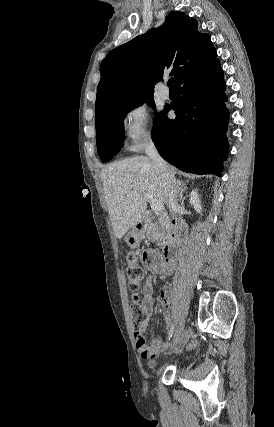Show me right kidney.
<instances>
[{
    "mask_svg": "<svg viewBox=\"0 0 274 427\" xmlns=\"http://www.w3.org/2000/svg\"><path fill=\"white\" fill-rule=\"evenodd\" d=\"M190 204L191 206H194L196 212H201L202 208L200 204V198H198L197 190H193V192H191Z\"/></svg>",
    "mask_w": 274,
    "mask_h": 427,
    "instance_id": "1",
    "label": "right kidney"
}]
</instances>
